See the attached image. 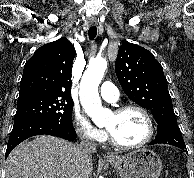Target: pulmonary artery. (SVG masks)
<instances>
[{
	"label": "pulmonary artery",
	"mask_w": 194,
	"mask_h": 178,
	"mask_svg": "<svg viewBox=\"0 0 194 178\" xmlns=\"http://www.w3.org/2000/svg\"><path fill=\"white\" fill-rule=\"evenodd\" d=\"M100 94L101 97L107 102L115 103L119 99L118 89L113 83L109 81H105L102 83Z\"/></svg>",
	"instance_id": "pulmonary-artery-1"
}]
</instances>
